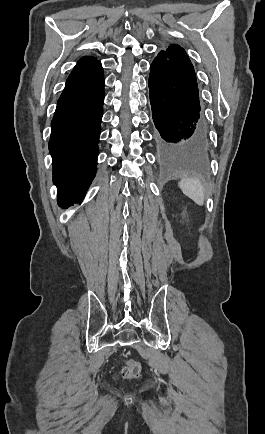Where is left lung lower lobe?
Listing matches in <instances>:
<instances>
[{"label":"left lung lower lobe","instance_id":"1","mask_svg":"<svg viewBox=\"0 0 265 434\" xmlns=\"http://www.w3.org/2000/svg\"><path fill=\"white\" fill-rule=\"evenodd\" d=\"M153 141L164 154L200 155L210 147L201 115L199 90L169 57L158 54L150 67Z\"/></svg>","mask_w":265,"mask_h":434}]
</instances>
